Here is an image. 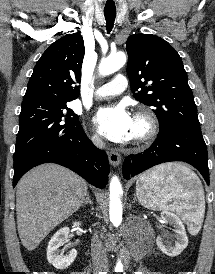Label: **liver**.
<instances>
[{"label":"liver","instance_id":"obj_1","mask_svg":"<svg viewBox=\"0 0 215 274\" xmlns=\"http://www.w3.org/2000/svg\"><path fill=\"white\" fill-rule=\"evenodd\" d=\"M87 183L74 172L56 164L33 168L16 190L17 229L29 251L83 204Z\"/></svg>","mask_w":215,"mask_h":274}]
</instances>
